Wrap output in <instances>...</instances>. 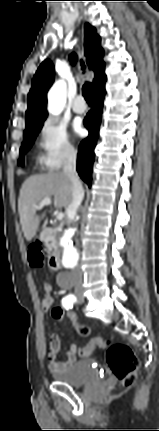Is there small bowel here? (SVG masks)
Here are the masks:
<instances>
[{"mask_svg":"<svg viewBox=\"0 0 159 431\" xmlns=\"http://www.w3.org/2000/svg\"><path fill=\"white\" fill-rule=\"evenodd\" d=\"M43 288L45 291V296L42 300V306L45 310L51 309V315H52V310L55 309L57 306L55 305V306H53V308H47L46 307V298H47V296L52 295L53 286L50 283L45 282L43 284ZM75 310L81 314V312L78 309H75ZM78 348H80V347L75 345V344H71L69 346L67 352H66L65 359L59 360L60 349H61L60 338L57 334H52L50 336L49 347L47 350V358L49 360V368L53 371H57V370L65 369V368L71 366L73 363L76 362V360L78 358V354H77Z\"/></svg>","mask_w":159,"mask_h":431,"instance_id":"small-bowel-1","label":"small bowel"}]
</instances>
